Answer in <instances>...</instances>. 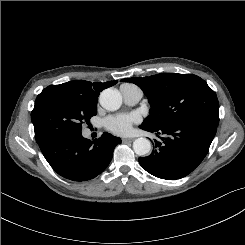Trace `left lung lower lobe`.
Listing matches in <instances>:
<instances>
[{"mask_svg":"<svg viewBox=\"0 0 245 245\" xmlns=\"http://www.w3.org/2000/svg\"><path fill=\"white\" fill-rule=\"evenodd\" d=\"M216 125L203 120L189 119L160 128L141 129L156 132L152 153L139 157L143 169L161 179L175 180L187 176L205 158L217 131Z\"/></svg>","mask_w":245,"mask_h":245,"instance_id":"left-lung-lower-lobe-1","label":"left lung lower lobe"}]
</instances>
